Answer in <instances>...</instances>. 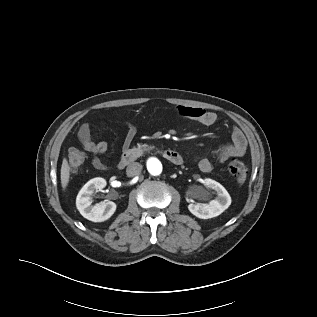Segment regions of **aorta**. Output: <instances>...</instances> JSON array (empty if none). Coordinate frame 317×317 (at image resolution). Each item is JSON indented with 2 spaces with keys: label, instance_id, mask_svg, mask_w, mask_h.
Here are the masks:
<instances>
[{
  "label": "aorta",
  "instance_id": "obj_1",
  "mask_svg": "<svg viewBox=\"0 0 317 317\" xmlns=\"http://www.w3.org/2000/svg\"><path fill=\"white\" fill-rule=\"evenodd\" d=\"M147 169L152 175H159L162 172V164L157 158H150L147 162Z\"/></svg>",
  "mask_w": 317,
  "mask_h": 317
}]
</instances>
